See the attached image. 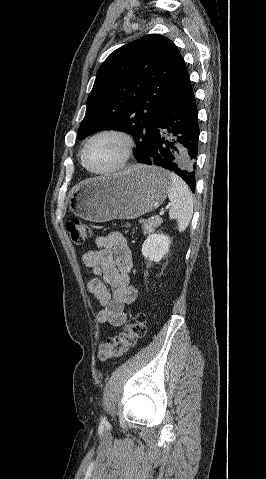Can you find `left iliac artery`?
<instances>
[{
    "instance_id": "obj_1",
    "label": "left iliac artery",
    "mask_w": 266,
    "mask_h": 479,
    "mask_svg": "<svg viewBox=\"0 0 266 479\" xmlns=\"http://www.w3.org/2000/svg\"><path fill=\"white\" fill-rule=\"evenodd\" d=\"M102 420H105V417H102Z\"/></svg>"
}]
</instances>
